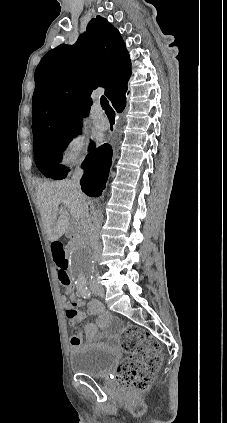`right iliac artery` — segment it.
Here are the masks:
<instances>
[{
  "mask_svg": "<svg viewBox=\"0 0 227 423\" xmlns=\"http://www.w3.org/2000/svg\"><path fill=\"white\" fill-rule=\"evenodd\" d=\"M78 290L84 298H90L91 293L86 284L79 285Z\"/></svg>",
  "mask_w": 227,
  "mask_h": 423,
  "instance_id": "right-iliac-artery-1",
  "label": "right iliac artery"
}]
</instances>
